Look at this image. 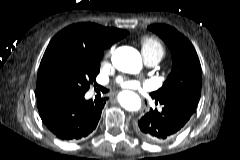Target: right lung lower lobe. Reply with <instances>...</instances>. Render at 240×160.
<instances>
[{
  "instance_id": "obj_1",
  "label": "right lung lower lobe",
  "mask_w": 240,
  "mask_h": 160,
  "mask_svg": "<svg viewBox=\"0 0 240 160\" xmlns=\"http://www.w3.org/2000/svg\"><path fill=\"white\" fill-rule=\"evenodd\" d=\"M106 99L85 100L84 95H49L38 98L40 117L59 139L76 141L88 136L97 126Z\"/></svg>"
}]
</instances>
